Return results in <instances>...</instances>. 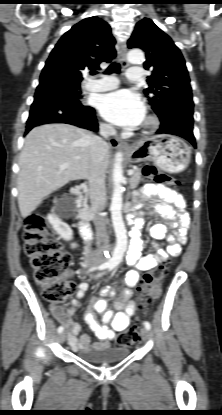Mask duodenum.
<instances>
[{"label": "duodenum", "instance_id": "duodenum-1", "mask_svg": "<svg viewBox=\"0 0 222 415\" xmlns=\"http://www.w3.org/2000/svg\"><path fill=\"white\" fill-rule=\"evenodd\" d=\"M80 192L84 193L83 188H80ZM90 213L87 208H83L80 212V221L78 223L79 230L82 234V236L89 240L92 236L91 229H90Z\"/></svg>", "mask_w": 222, "mask_h": 415}]
</instances>
